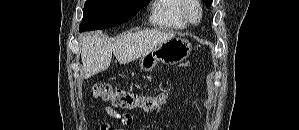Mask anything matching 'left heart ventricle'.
Masks as SVG:
<instances>
[{
	"instance_id": "b2bd125f",
	"label": "left heart ventricle",
	"mask_w": 299,
	"mask_h": 130,
	"mask_svg": "<svg viewBox=\"0 0 299 130\" xmlns=\"http://www.w3.org/2000/svg\"><path fill=\"white\" fill-rule=\"evenodd\" d=\"M192 16H193L194 18H196V16H197V12H196L195 9L192 10Z\"/></svg>"
}]
</instances>
